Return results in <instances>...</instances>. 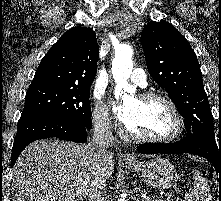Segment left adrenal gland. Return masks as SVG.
<instances>
[{
    "label": "left adrenal gland",
    "instance_id": "left-adrenal-gland-1",
    "mask_svg": "<svg viewBox=\"0 0 221 201\" xmlns=\"http://www.w3.org/2000/svg\"><path fill=\"white\" fill-rule=\"evenodd\" d=\"M138 201H144V199L143 198H139V200Z\"/></svg>",
    "mask_w": 221,
    "mask_h": 201
}]
</instances>
